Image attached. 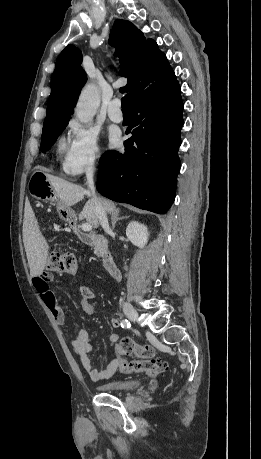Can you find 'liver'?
<instances>
[{
	"label": "liver",
	"instance_id": "6515ba94",
	"mask_svg": "<svg viewBox=\"0 0 261 459\" xmlns=\"http://www.w3.org/2000/svg\"><path fill=\"white\" fill-rule=\"evenodd\" d=\"M44 174H46L48 181L52 185L57 197L61 200L64 208L75 205L83 200L84 196L89 198L84 205L83 210L79 214V219H85L94 228H97L99 225V219L96 215L94 202L90 192L82 186L73 184L62 178L47 173ZM100 200L106 212H119V209L112 201L105 198H100ZM23 240L30 268V275L32 277L39 276L45 269L49 255V246L45 238L40 233L37 222L33 216L30 218V221L25 227Z\"/></svg>",
	"mask_w": 261,
	"mask_h": 459
}]
</instances>
